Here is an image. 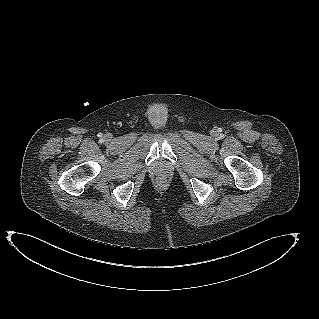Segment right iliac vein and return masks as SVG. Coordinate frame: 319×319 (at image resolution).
<instances>
[{
	"instance_id": "63e3f726",
	"label": "right iliac vein",
	"mask_w": 319,
	"mask_h": 319,
	"mask_svg": "<svg viewBox=\"0 0 319 319\" xmlns=\"http://www.w3.org/2000/svg\"><path fill=\"white\" fill-rule=\"evenodd\" d=\"M106 138H107V139H109V138H110V136H106Z\"/></svg>"
}]
</instances>
